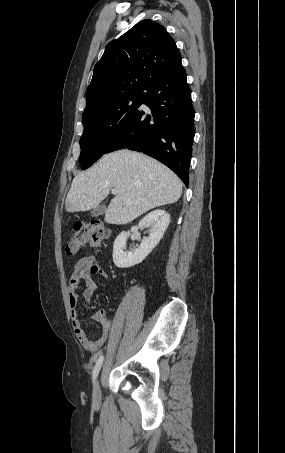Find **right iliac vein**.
Returning a JSON list of instances; mask_svg holds the SVG:
<instances>
[{
  "instance_id": "obj_1",
  "label": "right iliac vein",
  "mask_w": 285,
  "mask_h": 453,
  "mask_svg": "<svg viewBox=\"0 0 285 453\" xmlns=\"http://www.w3.org/2000/svg\"><path fill=\"white\" fill-rule=\"evenodd\" d=\"M93 402L96 406L100 405L101 402V389H100V380H96L93 388Z\"/></svg>"
}]
</instances>
